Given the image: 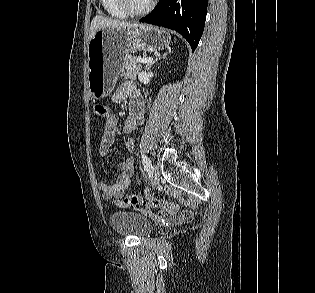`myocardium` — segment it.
Segmentation results:
<instances>
[{
	"label": "myocardium",
	"instance_id": "1",
	"mask_svg": "<svg viewBox=\"0 0 315 293\" xmlns=\"http://www.w3.org/2000/svg\"><path fill=\"white\" fill-rule=\"evenodd\" d=\"M117 3L121 10H123L126 14L132 16H140L150 12L154 8L156 0H151L149 4L142 9L134 8L130 0H117Z\"/></svg>",
	"mask_w": 315,
	"mask_h": 293
}]
</instances>
